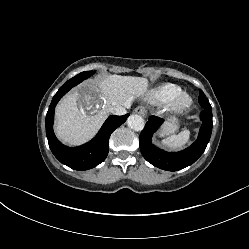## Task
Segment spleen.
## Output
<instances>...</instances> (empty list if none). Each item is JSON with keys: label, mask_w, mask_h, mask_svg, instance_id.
I'll return each instance as SVG.
<instances>
[{"label": "spleen", "mask_w": 249, "mask_h": 249, "mask_svg": "<svg viewBox=\"0 0 249 249\" xmlns=\"http://www.w3.org/2000/svg\"><path fill=\"white\" fill-rule=\"evenodd\" d=\"M190 131L184 130L178 135H172L161 141V144L169 150H181L190 140Z\"/></svg>", "instance_id": "spleen-1"}]
</instances>
